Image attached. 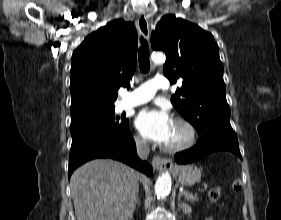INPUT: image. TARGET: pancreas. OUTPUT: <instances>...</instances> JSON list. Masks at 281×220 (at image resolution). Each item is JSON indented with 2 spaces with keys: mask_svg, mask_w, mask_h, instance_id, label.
Returning a JSON list of instances; mask_svg holds the SVG:
<instances>
[{
  "mask_svg": "<svg viewBox=\"0 0 281 220\" xmlns=\"http://www.w3.org/2000/svg\"><path fill=\"white\" fill-rule=\"evenodd\" d=\"M185 199L188 200L190 203H194L198 200L196 195H193L192 193L184 192Z\"/></svg>",
  "mask_w": 281,
  "mask_h": 220,
  "instance_id": "pancreas-1",
  "label": "pancreas"
}]
</instances>
